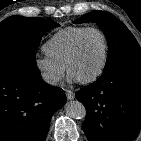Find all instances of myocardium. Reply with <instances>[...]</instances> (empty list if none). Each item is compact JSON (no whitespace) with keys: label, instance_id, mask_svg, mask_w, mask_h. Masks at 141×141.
I'll return each instance as SVG.
<instances>
[{"label":"myocardium","instance_id":"f54148a6","mask_svg":"<svg viewBox=\"0 0 141 141\" xmlns=\"http://www.w3.org/2000/svg\"><path fill=\"white\" fill-rule=\"evenodd\" d=\"M90 32H96L102 37L103 42H104V57H103V61H102L101 66L92 76H90L89 78H86V79L78 80V82L81 84H91V83L95 82L96 80H98L102 76V74L104 73V71L107 67V64H108V60H109L110 47H109V41H108L106 34L101 29H99L97 27H88L78 36V38L76 39V41L73 45V48L67 58L66 65H65L67 72L70 73V66L79 53L82 41H83L84 37Z\"/></svg>","mask_w":141,"mask_h":141}]
</instances>
